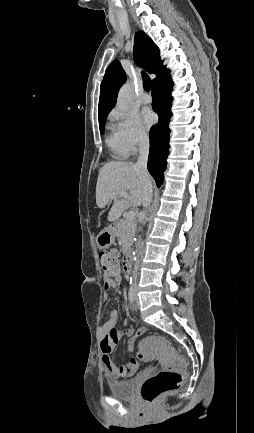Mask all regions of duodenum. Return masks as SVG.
I'll list each match as a JSON object with an SVG mask.
<instances>
[{
	"instance_id": "obj_1",
	"label": "duodenum",
	"mask_w": 254,
	"mask_h": 433,
	"mask_svg": "<svg viewBox=\"0 0 254 433\" xmlns=\"http://www.w3.org/2000/svg\"><path fill=\"white\" fill-rule=\"evenodd\" d=\"M115 225L112 224L111 225V229L115 230ZM131 266H132V257H131V252L129 249H126L125 253H124V259H123V269L125 272H129L131 270Z\"/></svg>"
}]
</instances>
